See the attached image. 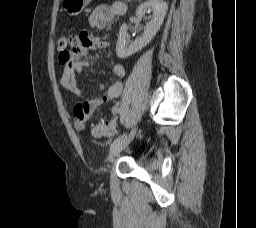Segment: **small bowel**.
Masks as SVG:
<instances>
[{
  "label": "small bowel",
  "mask_w": 256,
  "mask_h": 228,
  "mask_svg": "<svg viewBox=\"0 0 256 228\" xmlns=\"http://www.w3.org/2000/svg\"><path fill=\"white\" fill-rule=\"evenodd\" d=\"M126 7L122 2H115L111 5H100L91 13L88 19L90 28L103 29L116 16L124 14ZM108 43L93 39L87 31L66 37V45L59 50V63L62 66L61 86L67 90L74 99L80 97L82 88L77 81V75L82 68L90 67L93 64L88 54L89 49H106ZM110 67L117 79L110 85L103 87L102 95L89 100L75 104L73 107V123L77 130H83L85 123L91 117L93 112L108 101L117 98L123 88L121 79L125 76L123 65L110 62ZM116 131V122H109L107 134L111 135Z\"/></svg>",
  "instance_id": "c3829d8e"
}]
</instances>
